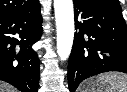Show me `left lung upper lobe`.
<instances>
[{"instance_id": "5c2ea615", "label": "left lung upper lobe", "mask_w": 127, "mask_h": 92, "mask_svg": "<svg viewBox=\"0 0 127 92\" xmlns=\"http://www.w3.org/2000/svg\"><path fill=\"white\" fill-rule=\"evenodd\" d=\"M93 7L106 9L115 12H121L118 0H77Z\"/></svg>"}]
</instances>
